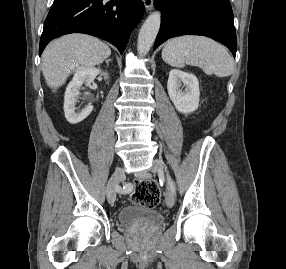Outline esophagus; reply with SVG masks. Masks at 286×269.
I'll return each mask as SVG.
<instances>
[{
    "mask_svg": "<svg viewBox=\"0 0 286 269\" xmlns=\"http://www.w3.org/2000/svg\"><path fill=\"white\" fill-rule=\"evenodd\" d=\"M143 3L147 11L153 9V0H143Z\"/></svg>",
    "mask_w": 286,
    "mask_h": 269,
    "instance_id": "1",
    "label": "esophagus"
}]
</instances>
